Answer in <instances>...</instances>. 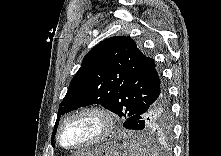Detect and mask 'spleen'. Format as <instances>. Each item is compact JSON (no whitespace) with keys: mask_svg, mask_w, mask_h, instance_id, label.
<instances>
[{"mask_svg":"<svg viewBox=\"0 0 221 156\" xmlns=\"http://www.w3.org/2000/svg\"><path fill=\"white\" fill-rule=\"evenodd\" d=\"M128 148L130 156H155L156 152L152 149L148 142L140 137L125 141L123 143Z\"/></svg>","mask_w":221,"mask_h":156,"instance_id":"obj_1","label":"spleen"}]
</instances>
